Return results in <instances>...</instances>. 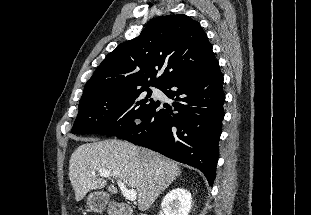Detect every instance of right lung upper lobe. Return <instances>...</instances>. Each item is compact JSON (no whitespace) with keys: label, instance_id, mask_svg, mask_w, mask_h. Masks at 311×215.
<instances>
[{"label":"right lung upper lobe","instance_id":"right-lung-upper-lobe-1","mask_svg":"<svg viewBox=\"0 0 311 215\" xmlns=\"http://www.w3.org/2000/svg\"><path fill=\"white\" fill-rule=\"evenodd\" d=\"M214 60L199 22L183 14L160 16L105 57L86 83L81 100L149 86L163 88ZM160 70L163 73L157 77Z\"/></svg>","mask_w":311,"mask_h":215}]
</instances>
